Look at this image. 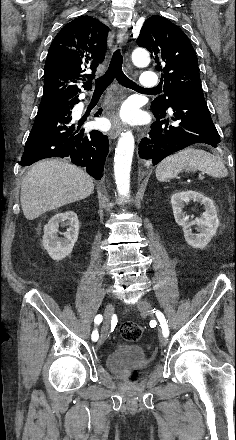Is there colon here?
I'll use <instances>...</instances> for the list:
<instances>
[{"label": "colon", "mask_w": 236, "mask_h": 440, "mask_svg": "<svg viewBox=\"0 0 236 440\" xmlns=\"http://www.w3.org/2000/svg\"><path fill=\"white\" fill-rule=\"evenodd\" d=\"M142 333H143V328L139 324L134 322H126L121 327V335L127 341L134 342L139 340ZM137 378H138V373L133 372L130 375L129 380L130 382L133 383L137 380Z\"/></svg>", "instance_id": "1"}]
</instances>
